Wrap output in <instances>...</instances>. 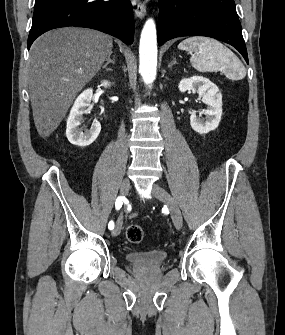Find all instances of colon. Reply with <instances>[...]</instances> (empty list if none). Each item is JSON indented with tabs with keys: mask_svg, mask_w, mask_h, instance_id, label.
Wrapping results in <instances>:
<instances>
[{
	"mask_svg": "<svg viewBox=\"0 0 285 335\" xmlns=\"http://www.w3.org/2000/svg\"><path fill=\"white\" fill-rule=\"evenodd\" d=\"M125 235L128 242L137 244L142 241L144 232L140 225L130 224L126 228Z\"/></svg>",
	"mask_w": 285,
	"mask_h": 335,
	"instance_id": "colon-1",
	"label": "colon"
}]
</instances>
